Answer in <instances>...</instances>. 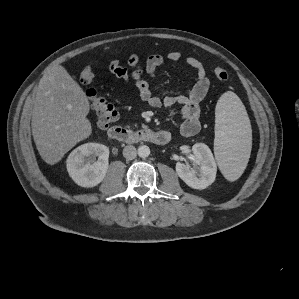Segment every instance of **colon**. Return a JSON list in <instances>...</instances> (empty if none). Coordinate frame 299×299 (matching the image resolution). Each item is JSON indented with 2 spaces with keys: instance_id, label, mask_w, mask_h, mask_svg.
<instances>
[{
  "instance_id": "obj_1",
  "label": "colon",
  "mask_w": 299,
  "mask_h": 299,
  "mask_svg": "<svg viewBox=\"0 0 299 299\" xmlns=\"http://www.w3.org/2000/svg\"><path fill=\"white\" fill-rule=\"evenodd\" d=\"M214 75L220 81H227L228 73L222 68H215ZM80 82L83 85H90L94 79V72L90 66L85 67L80 73ZM86 95L90 101L91 107L97 116V125L100 129L106 130L116 121L118 113L115 107L104 97L98 95L93 88L86 90Z\"/></svg>"
}]
</instances>
